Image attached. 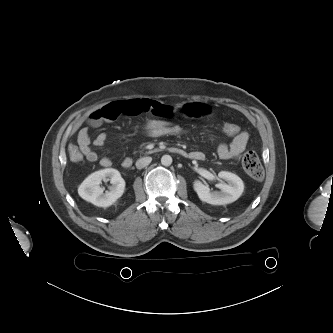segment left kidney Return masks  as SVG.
<instances>
[{
  "instance_id": "obj_1",
  "label": "left kidney",
  "mask_w": 333,
  "mask_h": 333,
  "mask_svg": "<svg viewBox=\"0 0 333 333\" xmlns=\"http://www.w3.org/2000/svg\"><path fill=\"white\" fill-rule=\"evenodd\" d=\"M218 177L226 182L217 184L220 191H211L207 185L200 181H195L193 186L199 199L213 205H226L236 201L244 191L242 179L227 171L218 173Z\"/></svg>"
}]
</instances>
